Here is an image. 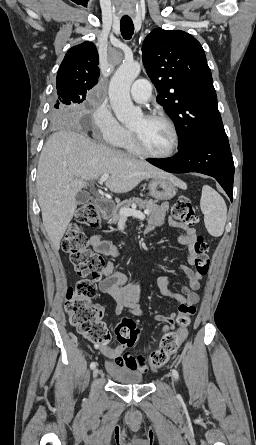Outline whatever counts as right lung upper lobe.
Segmentation results:
<instances>
[{
  "label": "right lung upper lobe",
  "instance_id": "1",
  "mask_svg": "<svg viewBox=\"0 0 256 445\" xmlns=\"http://www.w3.org/2000/svg\"><path fill=\"white\" fill-rule=\"evenodd\" d=\"M98 64L94 43L84 42L69 49L57 73V92L71 91L85 99L87 90L98 83Z\"/></svg>",
  "mask_w": 256,
  "mask_h": 445
}]
</instances>
